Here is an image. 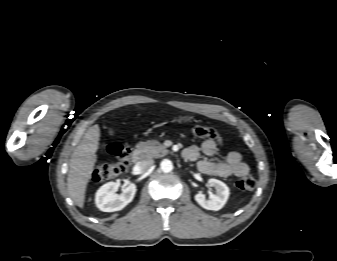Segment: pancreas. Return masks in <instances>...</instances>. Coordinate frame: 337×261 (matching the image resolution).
<instances>
[{
	"instance_id": "pancreas-1",
	"label": "pancreas",
	"mask_w": 337,
	"mask_h": 261,
	"mask_svg": "<svg viewBox=\"0 0 337 261\" xmlns=\"http://www.w3.org/2000/svg\"><path fill=\"white\" fill-rule=\"evenodd\" d=\"M143 157L158 158L168 154L166 147L157 140L140 142L137 145Z\"/></svg>"
}]
</instances>
